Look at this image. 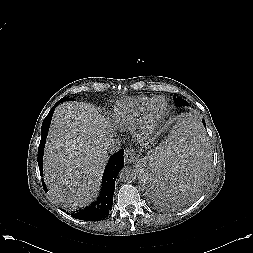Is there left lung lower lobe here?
<instances>
[{
  "mask_svg": "<svg viewBox=\"0 0 253 253\" xmlns=\"http://www.w3.org/2000/svg\"><path fill=\"white\" fill-rule=\"evenodd\" d=\"M205 125V122H203ZM170 158L157 155L144 172L143 182L151 199L158 205L167 206L191 198L203 176L204 155L196 150Z\"/></svg>",
  "mask_w": 253,
  "mask_h": 253,
  "instance_id": "obj_1",
  "label": "left lung lower lobe"
}]
</instances>
